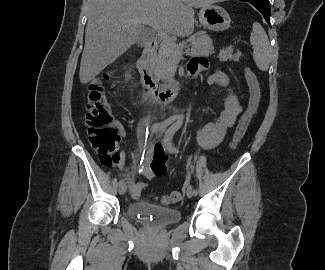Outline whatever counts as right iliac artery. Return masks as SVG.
<instances>
[{
  "label": "right iliac artery",
  "mask_w": 325,
  "mask_h": 270,
  "mask_svg": "<svg viewBox=\"0 0 325 270\" xmlns=\"http://www.w3.org/2000/svg\"><path fill=\"white\" fill-rule=\"evenodd\" d=\"M175 119H176L175 116H171V117L167 118L166 120H164L163 122L153 124L151 127V132L156 133V132L160 131L161 129L172 124L175 121ZM118 184H119V186L124 184V180L123 179L120 180Z\"/></svg>",
  "instance_id": "right-iliac-artery-1"
}]
</instances>
